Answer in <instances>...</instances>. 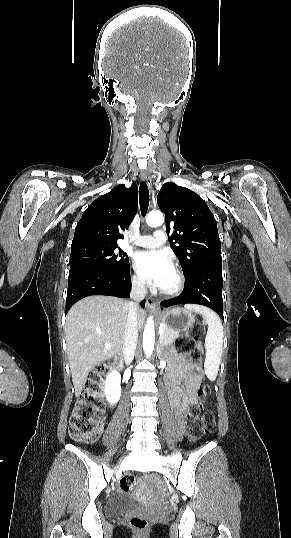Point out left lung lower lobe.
Returning a JSON list of instances; mask_svg holds the SVG:
<instances>
[{
	"mask_svg": "<svg viewBox=\"0 0 291 538\" xmlns=\"http://www.w3.org/2000/svg\"><path fill=\"white\" fill-rule=\"evenodd\" d=\"M222 284V262L201 265L187 276V285L180 296L160 304L162 307L200 304L213 309L224 320Z\"/></svg>",
	"mask_w": 291,
	"mask_h": 538,
	"instance_id": "left-lung-lower-lobe-1",
	"label": "left lung lower lobe"
}]
</instances>
